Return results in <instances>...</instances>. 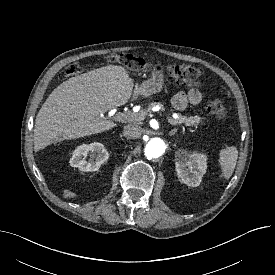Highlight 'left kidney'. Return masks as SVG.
Here are the masks:
<instances>
[{"label": "left kidney", "mask_w": 275, "mask_h": 275, "mask_svg": "<svg viewBox=\"0 0 275 275\" xmlns=\"http://www.w3.org/2000/svg\"><path fill=\"white\" fill-rule=\"evenodd\" d=\"M175 167L181 181L191 187L200 185L207 169V156L179 149L175 154Z\"/></svg>", "instance_id": "1"}]
</instances>
